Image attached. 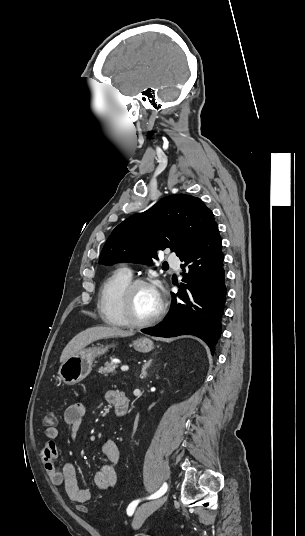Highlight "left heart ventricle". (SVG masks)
<instances>
[{"mask_svg":"<svg viewBox=\"0 0 305 536\" xmlns=\"http://www.w3.org/2000/svg\"><path fill=\"white\" fill-rule=\"evenodd\" d=\"M131 305L133 313L138 317L152 315L160 306V295L157 288L150 285L138 286L132 292Z\"/></svg>","mask_w":305,"mask_h":536,"instance_id":"left-heart-ventricle-1","label":"left heart ventricle"}]
</instances>
